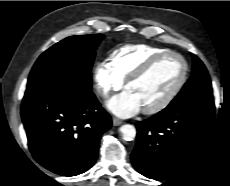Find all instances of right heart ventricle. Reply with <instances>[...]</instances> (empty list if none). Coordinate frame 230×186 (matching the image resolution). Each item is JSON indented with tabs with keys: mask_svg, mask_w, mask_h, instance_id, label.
<instances>
[{
	"mask_svg": "<svg viewBox=\"0 0 230 186\" xmlns=\"http://www.w3.org/2000/svg\"><path fill=\"white\" fill-rule=\"evenodd\" d=\"M164 51L168 50L149 44H127L111 52L109 63L124 82L149 58Z\"/></svg>",
	"mask_w": 230,
	"mask_h": 186,
	"instance_id": "right-heart-ventricle-1",
	"label": "right heart ventricle"
}]
</instances>
